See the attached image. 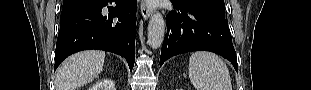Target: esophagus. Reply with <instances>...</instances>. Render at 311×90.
I'll return each mask as SVG.
<instances>
[{"instance_id":"34e87169","label":"esophagus","mask_w":311,"mask_h":90,"mask_svg":"<svg viewBox=\"0 0 311 90\" xmlns=\"http://www.w3.org/2000/svg\"><path fill=\"white\" fill-rule=\"evenodd\" d=\"M140 9H141L142 18L144 20H147L151 16V14H152V9H151L150 6H148L147 0H142L141 1Z\"/></svg>"}]
</instances>
